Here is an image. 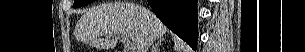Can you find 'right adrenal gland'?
I'll list each match as a JSON object with an SVG mask.
<instances>
[{
    "instance_id": "2a0ac1e0",
    "label": "right adrenal gland",
    "mask_w": 305,
    "mask_h": 52,
    "mask_svg": "<svg viewBox=\"0 0 305 52\" xmlns=\"http://www.w3.org/2000/svg\"><path fill=\"white\" fill-rule=\"evenodd\" d=\"M162 40L163 39L158 40L157 43L152 45L151 52H159V47L162 45L163 42Z\"/></svg>"
}]
</instances>
